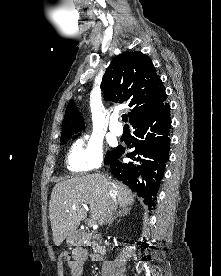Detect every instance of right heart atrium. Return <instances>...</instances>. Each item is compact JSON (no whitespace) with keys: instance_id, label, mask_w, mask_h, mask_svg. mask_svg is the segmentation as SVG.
I'll list each match as a JSON object with an SVG mask.
<instances>
[{"instance_id":"obj_1","label":"right heart atrium","mask_w":221,"mask_h":276,"mask_svg":"<svg viewBox=\"0 0 221 276\" xmlns=\"http://www.w3.org/2000/svg\"><path fill=\"white\" fill-rule=\"evenodd\" d=\"M103 161L102 144L96 138L77 141L67 155L71 170L86 172L98 168Z\"/></svg>"}]
</instances>
